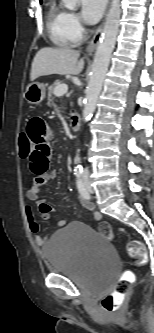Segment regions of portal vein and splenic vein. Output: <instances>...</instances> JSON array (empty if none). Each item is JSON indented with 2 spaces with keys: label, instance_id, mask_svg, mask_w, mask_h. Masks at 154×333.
Wrapping results in <instances>:
<instances>
[{
  "label": "portal vein and splenic vein",
  "instance_id": "portal-vein-and-splenic-vein-1",
  "mask_svg": "<svg viewBox=\"0 0 154 333\" xmlns=\"http://www.w3.org/2000/svg\"><path fill=\"white\" fill-rule=\"evenodd\" d=\"M68 91V85L66 84H59L54 88V95L57 97H60L67 93Z\"/></svg>",
  "mask_w": 154,
  "mask_h": 333
}]
</instances>
